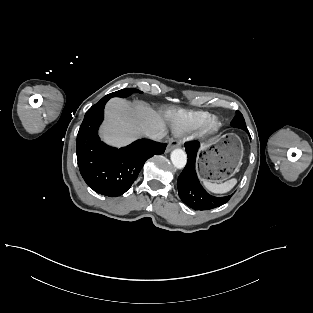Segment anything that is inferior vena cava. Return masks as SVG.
Masks as SVG:
<instances>
[{"label": "inferior vena cava", "mask_w": 313, "mask_h": 313, "mask_svg": "<svg viewBox=\"0 0 313 313\" xmlns=\"http://www.w3.org/2000/svg\"><path fill=\"white\" fill-rule=\"evenodd\" d=\"M166 132L165 131H158V132H149L147 133V136L155 141H161L166 137Z\"/></svg>", "instance_id": "1"}]
</instances>
